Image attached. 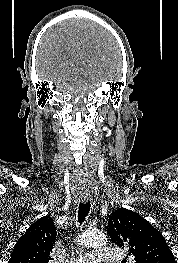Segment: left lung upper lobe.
Here are the masks:
<instances>
[{"mask_svg":"<svg viewBox=\"0 0 178 263\" xmlns=\"http://www.w3.org/2000/svg\"><path fill=\"white\" fill-rule=\"evenodd\" d=\"M112 241L128 250L135 263H176L162 234L139 214L122 208L108 222Z\"/></svg>","mask_w":178,"mask_h":263,"instance_id":"5c2ea615","label":"left lung upper lobe"}]
</instances>
